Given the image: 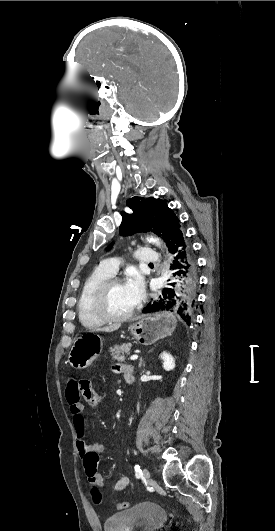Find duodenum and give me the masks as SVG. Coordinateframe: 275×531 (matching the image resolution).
Instances as JSON below:
<instances>
[{"label":"duodenum","mask_w":275,"mask_h":531,"mask_svg":"<svg viewBox=\"0 0 275 531\" xmlns=\"http://www.w3.org/2000/svg\"><path fill=\"white\" fill-rule=\"evenodd\" d=\"M124 378L128 383H132L134 379V374L132 372H126Z\"/></svg>","instance_id":"duodenum-1"}]
</instances>
